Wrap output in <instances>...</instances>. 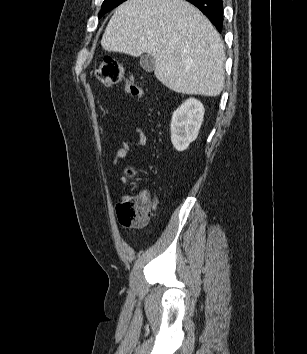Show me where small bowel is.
<instances>
[{
	"instance_id": "c3829d8e",
	"label": "small bowel",
	"mask_w": 307,
	"mask_h": 354,
	"mask_svg": "<svg viewBox=\"0 0 307 354\" xmlns=\"http://www.w3.org/2000/svg\"><path fill=\"white\" fill-rule=\"evenodd\" d=\"M135 134V138L125 141L123 145L116 151L112 162L114 167H116L121 160L128 156L132 148L142 147L147 143V135L143 129L136 127Z\"/></svg>"
}]
</instances>
